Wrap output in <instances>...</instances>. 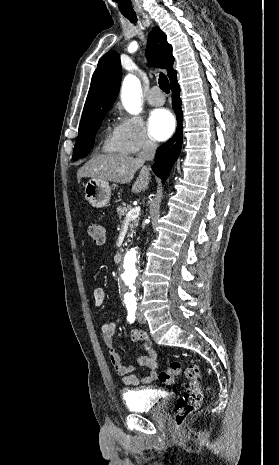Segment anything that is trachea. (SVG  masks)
<instances>
[{"label":"trachea","instance_id":"1","mask_svg":"<svg viewBox=\"0 0 279 465\" xmlns=\"http://www.w3.org/2000/svg\"><path fill=\"white\" fill-rule=\"evenodd\" d=\"M124 16L132 23H136L137 22V18H136V15H128V14H124ZM159 86L160 88L166 92V93H169L170 92V84H169V80L167 78L166 75H164L163 73H161L159 75Z\"/></svg>","mask_w":279,"mask_h":465}]
</instances>
